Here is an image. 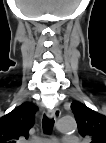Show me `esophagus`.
<instances>
[{
  "label": "esophagus",
  "instance_id": "34e87169",
  "mask_svg": "<svg viewBox=\"0 0 106 143\" xmlns=\"http://www.w3.org/2000/svg\"><path fill=\"white\" fill-rule=\"evenodd\" d=\"M60 116H61V110L58 107L48 112V118L54 119L55 121H58Z\"/></svg>",
  "mask_w": 106,
  "mask_h": 143
}]
</instances>
